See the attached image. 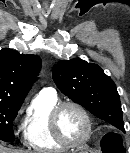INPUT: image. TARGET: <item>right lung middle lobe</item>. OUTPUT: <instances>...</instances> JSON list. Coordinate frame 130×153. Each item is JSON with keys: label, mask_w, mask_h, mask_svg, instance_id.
<instances>
[{"label": "right lung middle lobe", "mask_w": 130, "mask_h": 153, "mask_svg": "<svg viewBox=\"0 0 130 153\" xmlns=\"http://www.w3.org/2000/svg\"><path fill=\"white\" fill-rule=\"evenodd\" d=\"M20 104L0 102V139L6 142L15 140L13 132V120L17 116Z\"/></svg>", "instance_id": "obj_1"}]
</instances>
